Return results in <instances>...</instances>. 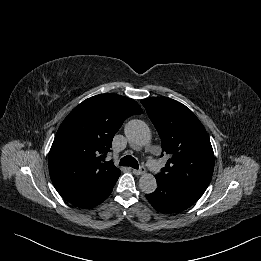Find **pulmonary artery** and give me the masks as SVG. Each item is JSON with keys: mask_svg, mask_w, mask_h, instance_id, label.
<instances>
[{"mask_svg": "<svg viewBox=\"0 0 261 261\" xmlns=\"http://www.w3.org/2000/svg\"><path fill=\"white\" fill-rule=\"evenodd\" d=\"M148 166L154 173H158L160 170V165L156 160H150Z\"/></svg>", "mask_w": 261, "mask_h": 261, "instance_id": "e3ab8cb5", "label": "pulmonary artery"}]
</instances>
